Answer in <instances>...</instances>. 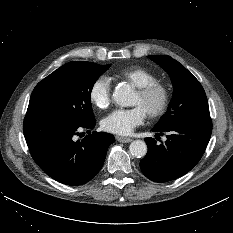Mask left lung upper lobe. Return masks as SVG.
<instances>
[{"instance_id":"1","label":"left lung upper lobe","mask_w":233,"mask_h":233,"mask_svg":"<svg viewBox=\"0 0 233 233\" xmlns=\"http://www.w3.org/2000/svg\"><path fill=\"white\" fill-rule=\"evenodd\" d=\"M148 57L169 74L174 89L168 111L156 128L165 129L189 117H210L205 91L191 72L170 56Z\"/></svg>"}]
</instances>
